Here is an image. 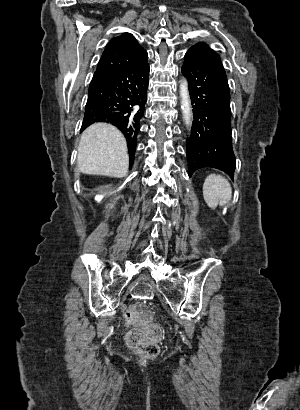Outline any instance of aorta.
<instances>
[{
    "label": "aorta",
    "mask_w": 300,
    "mask_h": 410,
    "mask_svg": "<svg viewBox=\"0 0 300 410\" xmlns=\"http://www.w3.org/2000/svg\"><path fill=\"white\" fill-rule=\"evenodd\" d=\"M180 97H181V109L183 113V119L187 126H191L192 123V108L191 100L188 90V83L186 79H182L180 84Z\"/></svg>",
    "instance_id": "1"
}]
</instances>
